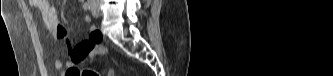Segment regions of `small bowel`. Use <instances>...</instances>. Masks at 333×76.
<instances>
[{
    "label": "small bowel",
    "mask_w": 333,
    "mask_h": 76,
    "mask_svg": "<svg viewBox=\"0 0 333 76\" xmlns=\"http://www.w3.org/2000/svg\"><path fill=\"white\" fill-rule=\"evenodd\" d=\"M33 3L42 16L48 31L58 37H64L66 29L61 24L56 9L51 5V3L46 0H34ZM84 20L85 22H89L90 17L85 16ZM102 41L103 36L100 32H97L96 27L92 26L89 31V38L74 45L68 44L66 48L68 60L65 62L56 60L54 62V68L56 70H62L65 68L66 72H64V76H81L79 63L92 58L97 54L103 53L105 50L99 44V42Z\"/></svg>",
    "instance_id": "c3829d8e"
}]
</instances>
